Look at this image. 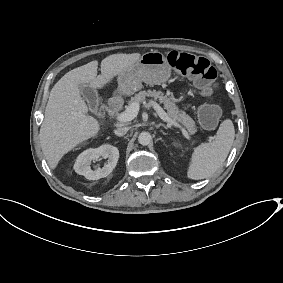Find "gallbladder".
<instances>
[{"mask_svg": "<svg viewBox=\"0 0 283 283\" xmlns=\"http://www.w3.org/2000/svg\"><path fill=\"white\" fill-rule=\"evenodd\" d=\"M80 92L83 96L86 95L93 110L98 111L101 109L102 104L95 90L86 85H80Z\"/></svg>", "mask_w": 283, "mask_h": 283, "instance_id": "gallbladder-1", "label": "gallbladder"}]
</instances>
